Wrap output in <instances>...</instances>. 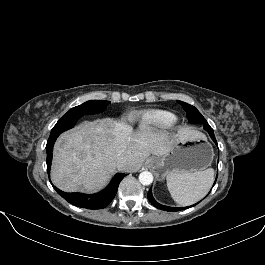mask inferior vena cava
Returning <instances> with one entry per match:
<instances>
[{
	"instance_id": "602c4592",
	"label": "inferior vena cava",
	"mask_w": 265,
	"mask_h": 265,
	"mask_svg": "<svg viewBox=\"0 0 265 265\" xmlns=\"http://www.w3.org/2000/svg\"><path fill=\"white\" fill-rule=\"evenodd\" d=\"M126 162V158L124 156L123 151H118L116 156V164L117 166H122Z\"/></svg>"
}]
</instances>
